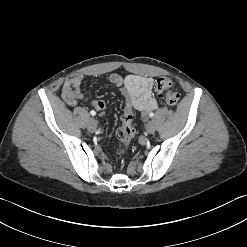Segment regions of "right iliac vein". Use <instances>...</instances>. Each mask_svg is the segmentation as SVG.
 I'll return each instance as SVG.
<instances>
[{"mask_svg": "<svg viewBox=\"0 0 247 247\" xmlns=\"http://www.w3.org/2000/svg\"><path fill=\"white\" fill-rule=\"evenodd\" d=\"M97 128V123L94 118H90L88 121V130L94 132Z\"/></svg>", "mask_w": 247, "mask_h": 247, "instance_id": "obj_1", "label": "right iliac vein"}]
</instances>
